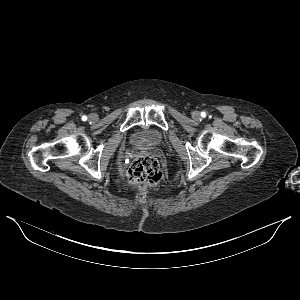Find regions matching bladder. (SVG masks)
I'll list each match as a JSON object with an SVG mask.
<instances>
[{
  "mask_svg": "<svg viewBox=\"0 0 300 300\" xmlns=\"http://www.w3.org/2000/svg\"><path fill=\"white\" fill-rule=\"evenodd\" d=\"M165 134L151 126H145L135 131L131 136V144L138 149H151L163 143Z\"/></svg>",
  "mask_w": 300,
  "mask_h": 300,
  "instance_id": "obj_1",
  "label": "bladder"
}]
</instances>
